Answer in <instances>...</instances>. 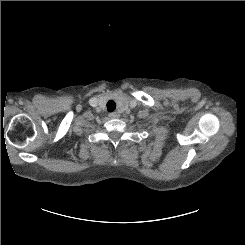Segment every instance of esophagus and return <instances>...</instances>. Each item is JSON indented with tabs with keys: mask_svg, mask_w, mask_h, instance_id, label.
Instances as JSON below:
<instances>
[{
	"mask_svg": "<svg viewBox=\"0 0 245 245\" xmlns=\"http://www.w3.org/2000/svg\"><path fill=\"white\" fill-rule=\"evenodd\" d=\"M109 117L112 118V119H116V118L119 117V114L117 112H113V113L109 114Z\"/></svg>",
	"mask_w": 245,
	"mask_h": 245,
	"instance_id": "obj_1",
	"label": "esophagus"
}]
</instances>
